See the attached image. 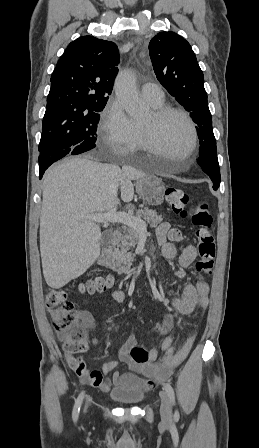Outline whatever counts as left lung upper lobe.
Segmentation results:
<instances>
[{"label": "left lung upper lobe", "instance_id": "left-lung-upper-lobe-1", "mask_svg": "<svg viewBox=\"0 0 259 448\" xmlns=\"http://www.w3.org/2000/svg\"><path fill=\"white\" fill-rule=\"evenodd\" d=\"M149 52L157 79L196 123L199 150L216 145L203 73L190 44L174 32H160L151 39Z\"/></svg>", "mask_w": 259, "mask_h": 448}]
</instances>
